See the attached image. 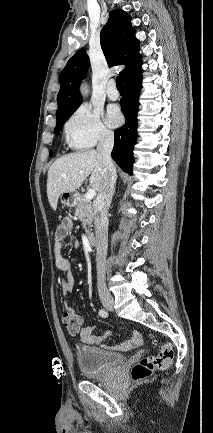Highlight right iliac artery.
<instances>
[{"mask_svg": "<svg viewBox=\"0 0 213 433\" xmlns=\"http://www.w3.org/2000/svg\"><path fill=\"white\" fill-rule=\"evenodd\" d=\"M99 315L101 316V317H107L108 316V312L106 311V310H104V309H100L99 310Z\"/></svg>", "mask_w": 213, "mask_h": 433, "instance_id": "82829eb1", "label": "right iliac artery"}]
</instances>
